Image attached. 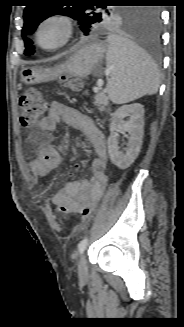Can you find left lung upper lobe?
I'll use <instances>...</instances> for the list:
<instances>
[{
	"mask_svg": "<svg viewBox=\"0 0 184 327\" xmlns=\"http://www.w3.org/2000/svg\"><path fill=\"white\" fill-rule=\"evenodd\" d=\"M56 1L52 0H32L31 4L26 6L23 17L24 26L22 36L25 42V55L34 53L32 41L26 36L32 34L37 26L44 19L55 14L69 16L79 21L84 35L99 26L122 23L133 26L139 23L143 9H113L107 6V3H126L131 0H77L74 6H61L49 4ZM100 2L99 6H92L90 3Z\"/></svg>",
	"mask_w": 184,
	"mask_h": 327,
	"instance_id": "1",
	"label": "left lung upper lobe"
}]
</instances>
